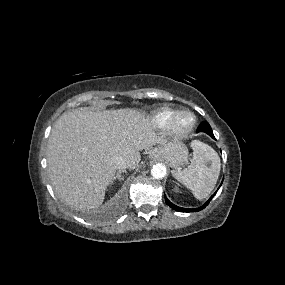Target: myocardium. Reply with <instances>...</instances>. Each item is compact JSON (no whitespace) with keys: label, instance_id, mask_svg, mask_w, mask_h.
<instances>
[{"label":"myocardium","instance_id":"myocardium-1","mask_svg":"<svg viewBox=\"0 0 285 285\" xmlns=\"http://www.w3.org/2000/svg\"><path fill=\"white\" fill-rule=\"evenodd\" d=\"M197 119L195 115L189 111L176 112L171 123L170 128L176 135L183 136L195 128Z\"/></svg>","mask_w":285,"mask_h":285}]
</instances>
